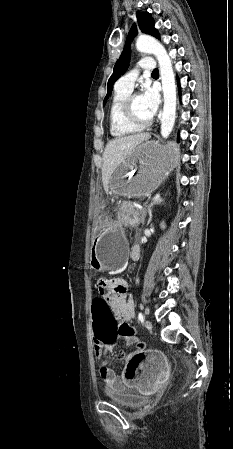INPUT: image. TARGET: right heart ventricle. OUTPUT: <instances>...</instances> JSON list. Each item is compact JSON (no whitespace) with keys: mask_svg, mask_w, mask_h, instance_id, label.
<instances>
[{"mask_svg":"<svg viewBox=\"0 0 233 449\" xmlns=\"http://www.w3.org/2000/svg\"><path fill=\"white\" fill-rule=\"evenodd\" d=\"M131 90L132 89L120 87L118 85L115 86L108 112L110 133L113 137H125L141 131L140 127L127 122L123 118L121 112L122 103Z\"/></svg>","mask_w":233,"mask_h":449,"instance_id":"1","label":"right heart ventricle"}]
</instances>
